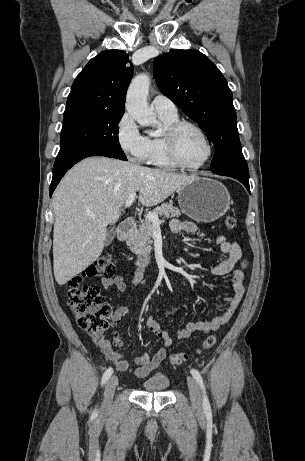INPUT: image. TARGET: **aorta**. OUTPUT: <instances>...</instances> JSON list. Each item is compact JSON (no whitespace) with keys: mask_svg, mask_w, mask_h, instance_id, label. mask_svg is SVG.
Returning <instances> with one entry per match:
<instances>
[{"mask_svg":"<svg viewBox=\"0 0 305 461\" xmlns=\"http://www.w3.org/2000/svg\"><path fill=\"white\" fill-rule=\"evenodd\" d=\"M149 86L150 77L147 74L136 76L128 88L125 107L141 126L155 127L158 121L147 103Z\"/></svg>","mask_w":305,"mask_h":461,"instance_id":"762f6f07","label":"aorta"}]
</instances>
